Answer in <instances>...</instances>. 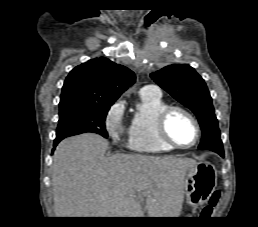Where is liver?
<instances>
[{
    "label": "liver",
    "mask_w": 258,
    "mask_h": 227,
    "mask_svg": "<svg viewBox=\"0 0 258 227\" xmlns=\"http://www.w3.org/2000/svg\"><path fill=\"white\" fill-rule=\"evenodd\" d=\"M96 134L67 138L52 164L56 217H178L187 171L197 162L173 156L116 154ZM144 203V207H143Z\"/></svg>",
    "instance_id": "liver-1"
}]
</instances>
